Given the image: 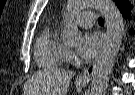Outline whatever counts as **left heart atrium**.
I'll return each instance as SVG.
<instances>
[{
    "label": "left heart atrium",
    "instance_id": "obj_1",
    "mask_svg": "<svg viewBox=\"0 0 135 95\" xmlns=\"http://www.w3.org/2000/svg\"><path fill=\"white\" fill-rule=\"evenodd\" d=\"M101 44L102 38L98 33H84L78 46L79 56L86 61L93 59L98 54Z\"/></svg>",
    "mask_w": 135,
    "mask_h": 95
}]
</instances>
